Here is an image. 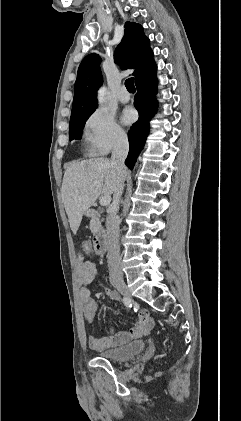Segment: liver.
<instances>
[{"instance_id":"liver-1","label":"liver","mask_w":241,"mask_h":421,"mask_svg":"<svg viewBox=\"0 0 241 421\" xmlns=\"http://www.w3.org/2000/svg\"><path fill=\"white\" fill-rule=\"evenodd\" d=\"M127 171L123 173L126 177ZM121 173L107 158L73 162L63 177L61 194L70 228L76 234L83 215L102 194L115 192Z\"/></svg>"}]
</instances>
